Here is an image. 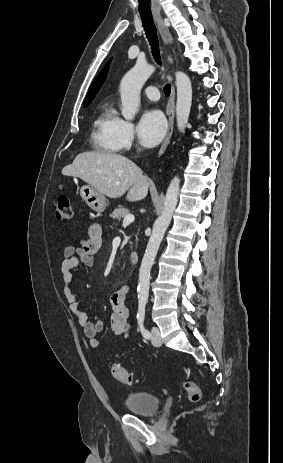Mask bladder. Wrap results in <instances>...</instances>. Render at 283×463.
Here are the masks:
<instances>
[{"mask_svg":"<svg viewBox=\"0 0 283 463\" xmlns=\"http://www.w3.org/2000/svg\"><path fill=\"white\" fill-rule=\"evenodd\" d=\"M124 407L131 414L153 417L160 409V399L150 393L132 392L126 396Z\"/></svg>","mask_w":283,"mask_h":463,"instance_id":"obj_1","label":"bladder"}]
</instances>
